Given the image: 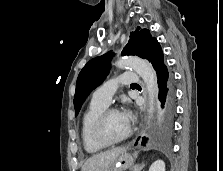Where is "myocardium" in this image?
Listing matches in <instances>:
<instances>
[{
	"instance_id": "1",
	"label": "myocardium",
	"mask_w": 223,
	"mask_h": 171,
	"mask_svg": "<svg viewBox=\"0 0 223 171\" xmlns=\"http://www.w3.org/2000/svg\"><path fill=\"white\" fill-rule=\"evenodd\" d=\"M118 112H120V111L116 108L106 107L94 120L93 125H92V136L98 144L105 146V147L113 146V145H116V144H119V143L125 141L126 139H128L131 136V134H132L131 125H129V129H128L127 133L117 140H110L104 135L103 126H104L106 118L110 114L118 113Z\"/></svg>"
}]
</instances>
